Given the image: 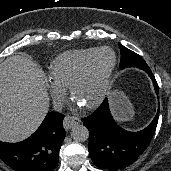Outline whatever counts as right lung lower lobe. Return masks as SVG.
Returning <instances> with one entry per match:
<instances>
[{
  "instance_id": "right-lung-lower-lobe-1",
  "label": "right lung lower lobe",
  "mask_w": 171,
  "mask_h": 171,
  "mask_svg": "<svg viewBox=\"0 0 171 171\" xmlns=\"http://www.w3.org/2000/svg\"><path fill=\"white\" fill-rule=\"evenodd\" d=\"M64 115L49 112L38 130L19 143L0 141L1 160L16 171H53L58 166L59 150L66 136Z\"/></svg>"
}]
</instances>
